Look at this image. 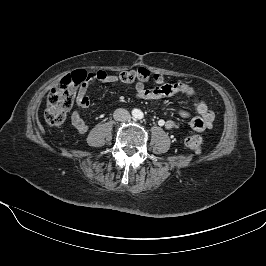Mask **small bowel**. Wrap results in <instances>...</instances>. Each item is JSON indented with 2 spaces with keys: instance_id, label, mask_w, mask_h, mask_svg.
<instances>
[{
  "instance_id": "c3829d8e",
  "label": "small bowel",
  "mask_w": 266,
  "mask_h": 266,
  "mask_svg": "<svg viewBox=\"0 0 266 266\" xmlns=\"http://www.w3.org/2000/svg\"><path fill=\"white\" fill-rule=\"evenodd\" d=\"M90 80L99 81L102 84H111L119 79L116 75H111L103 70L93 71L89 73ZM158 86L147 89L144 84L137 82L135 85L136 97L140 100H156L171 97L177 94L186 96H195V89L186 83H168L162 77L157 81ZM90 105V99L87 95V85L80 87L77 93L76 109L71 115V124L75 130L81 134L86 133L89 129L88 125L82 119L80 110L86 109ZM195 111L198 116L191 117L190 113L179 109L178 113L182 118L190 119V126L198 132L212 129L214 121V112L209 108L205 100L200 99L194 104ZM177 123L175 120H167L165 128L168 130L175 129Z\"/></svg>"
}]
</instances>
